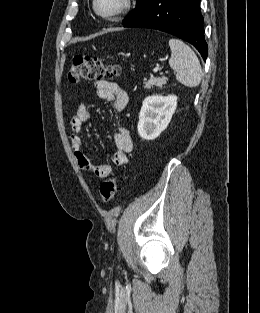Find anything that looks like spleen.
<instances>
[{"label": "spleen", "instance_id": "obj_1", "mask_svg": "<svg viewBox=\"0 0 260 313\" xmlns=\"http://www.w3.org/2000/svg\"><path fill=\"white\" fill-rule=\"evenodd\" d=\"M170 67L176 72V79L186 87H196L202 79V69L194 51L179 39H170Z\"/></svg>", "mask_w": 260, "mask_h": 313}]
</instances>
